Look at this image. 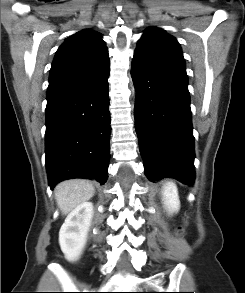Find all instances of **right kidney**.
<instances>
[{
    "instance_id": "ca27d5eb",
    "label": "right kidney",
    "mask_w": 245,
    "mask_h": 293,
    "mask_svg": "<svg viewBox=\"0 0 245 293\" xmlns=\"http://www.w3.org/2000/svg\"><path fill=\"white\" fill-rule=\"evenodd\" d=\"M93 214V204L83 202L68 214L61 226L59 244L67 260L75 261L81 255Z\"/></svg>"
}]
</instances>
